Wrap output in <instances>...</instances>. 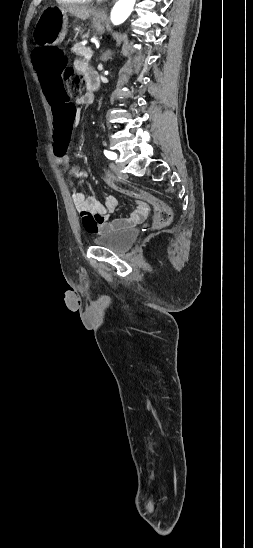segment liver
I'll list each match as a JSON object with an SVG mask.
<instances>
[{
  "mask_svg": "<svg viewBox=\"0 0 253 548\" xmlns=\"http://www.w3.org/2000/svg\"><path fill=\"white\" fill-rule=\"evenodd\" d=\"M60 9L66 13L69 12L71 15L77 17L80 20H87L91 15L95 13V9L87 6H70Z\"/></svg>",
  "mask_w": 253,
  "mask_h": 548,
  "instance_id": "obj_1",
  "label": "liver"
}]
</instances>
